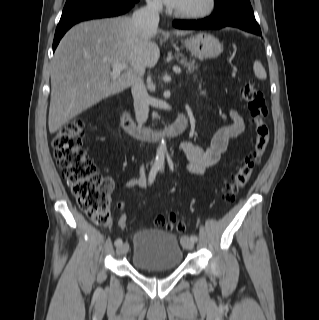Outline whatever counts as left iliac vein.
<instances>
[{"label": "left iliac vein", "instance_id": "1", "mask_svg": "<svg viewBox=\"0 0 319 320\" xmlns=\"http://www.w3.org/2000/svg\"><path fill=\"white\" fill-rule=\"evenodd\" d=\"M182 246L187 249V250H192L194 247V242H192L188 237H183L182 238Z\"/></svg>", "mask_w": 319, "mask_h": 320}]
</instances>
